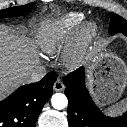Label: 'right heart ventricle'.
<instances>
[{
  "instance_id": "right-heart-ventricle-1",
  "label": "right heart ventricle",
  "mask_w": 127,
  "mask_h": 127,
  "mask_svg": "<svg viewBox=\"0 0 127 127\" xmlns=\"http://www.w3.org/2000/svg\"><path fill=\"white\" fill-rule=\"evenodd\" d=\"M84 18L83 13L70 12L45 23L37 34L39 48L44 53L55 54Z\"/></svg>"
}]
</instances>
